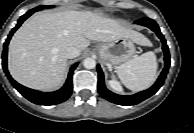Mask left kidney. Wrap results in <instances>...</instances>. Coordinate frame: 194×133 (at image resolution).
I'll list each match as a JSON object with an SVG mask.
<instances>
[{
  "label": "left kidney",
  "mask_w": 194,
  "mask_h": 133,
  "mask_svg": "<svg viewBox=\"0 0 194 133\" xmlns=\"http://www.w3.org/2000/svg\"><path fill=\"white\" fill-rule=\"evenodd\" d=\"M109 85L111 86V88H113L114 90L116 91H121V86L119 85L118 82L114 81V80H111L109 82Z\"/></svg>",
  "instance_id": "left-kidney-1"
}]
</instances>
